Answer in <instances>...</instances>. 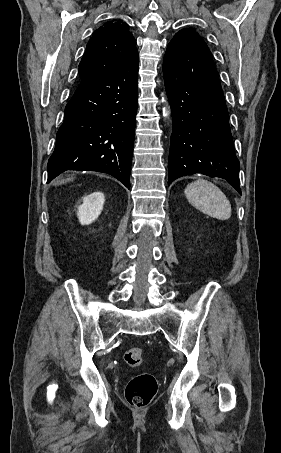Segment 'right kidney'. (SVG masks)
Wrapping results in <instances>:
<instances>
[{"label":"right kidney","instance_id":"ca27d5eb","mask_svg":"<svg viewBox=\"0 0 281 453\" xmlns=\"http://www.w3.org/2000/svg\"><path fill=\"white\" fill-rule=\"evenodd\" d=\"M105 196L103 192H91L83 196L82 204H79L77 216L81 224H90L98 218L104 204Z\"/></svg>","mask_w":281,"mask_h":453}]
</instances>
